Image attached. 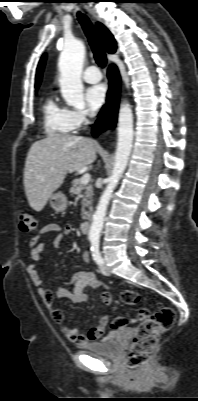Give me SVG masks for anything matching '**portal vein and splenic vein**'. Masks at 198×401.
Masks as SVG:
<instances>
[{
	"label": "portal vein and splenic vein",
	"instance_id": "18ae733b",
	"mask_svg": "<svg viewBox=\"0 0 198 401\" xmlns=\"http://www.w3.org/2000/svg\"><path fill=\"white\" fill-rule=\"evenodd\" d=\"M90 174L89 173H85L81 179H80V183L81 184H87L90 181Z\"/></svg>",
	"mask_w": 198,
	"mask_h": 401
}]
</instances>
